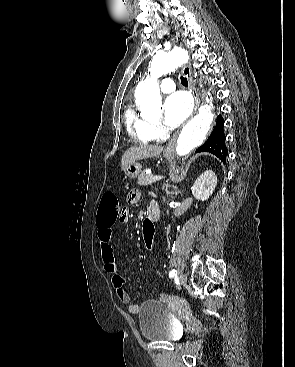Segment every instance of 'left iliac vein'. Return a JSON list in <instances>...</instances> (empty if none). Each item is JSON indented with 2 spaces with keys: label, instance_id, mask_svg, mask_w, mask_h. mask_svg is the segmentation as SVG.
<instances>
[{
  "label": "left iliac vein",
  "instance_id": "left-iliac-vein-1",
  "mask_svg": "<svg viewBox=\"0 0 295 367\" xmlns=\"http://www.w3.org/2000/svg\"><path fill=\"white\" fill-rule=\"evenodd\" d=\"M179 281L181 284H185L187 282V276L185 274H180Z\"/></svg>",
  "mask_w": 295,
  "mask_h": 367
}]
</instances>
